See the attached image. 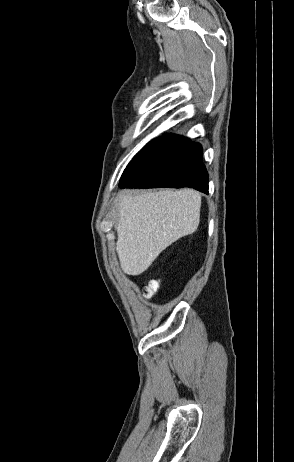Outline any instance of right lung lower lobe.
Wrapping results in <instances>:
<instances>
[{
    "label": "right lung lower lobe",
    "mask_w": 294,
    "mask_h": 462,
    "mask_svg": "<svg viewBox=\"0 0 294 462\" xmlns=\"http://www.w3.org/2000/svg\"><path fill=\"white\" fill-rule=\"evenodd\" d=\"M121 188L191 187L208 194L202 147L168 134L142 151L124 170Z\"/></svg>",
    "instance_id": "98d812e1"
}]
</instances>
